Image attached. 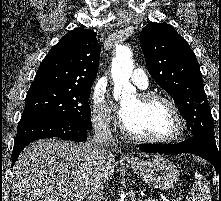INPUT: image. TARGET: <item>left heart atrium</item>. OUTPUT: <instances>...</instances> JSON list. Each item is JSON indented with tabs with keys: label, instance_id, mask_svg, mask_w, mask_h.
<instances>
[{
	"label": "left heart atrium",
	"instance_id": "obj_1",
	"mask_svg": "<svg viewBox=\"0 0 221 201\" xmlns=\"http://www.w3.org/2000/svg\"><path fill=\"white\" fill-rule=\"evenodd\" d=\"M124 109H123V107L119 110V115H120V117L121 118H123L124 117Z\"/></svg>",
	"mask_w": 221,
	"mask_h": 201
}]
</instances>
